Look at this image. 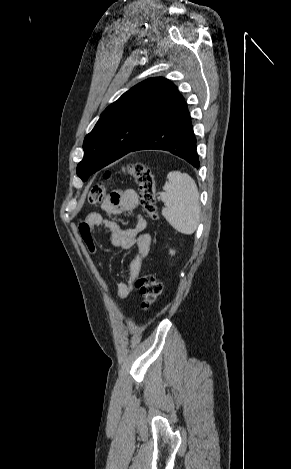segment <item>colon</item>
I'll use <instances>...</instances> for the list:
<instances>
[{"label": "colon", "instance_id": "obj_1", "mask_svg": "<svg viewBox=\"0 0 291 469\" xmlns=\"http://www.w3.org/2000/svg\"><path fill=\"white\" fill-rule=\"evenodd\" d=\"M123 172L131 176L137 183L140 191V202L144 212L152 219H157V206H156V183L153 173L150 168L142 163L128 164L123 168ZM113 173L107 171L104 174L106 182L111 181ZM108 185L106 183H99L92 187L90 190L87 202L91 205L98 204L105 200L107 197ZM134 285L139 291L141 296L140 305L143 310H147L158 299L162 292V284L150 273L139 275Z\"/></svg>", "mask_w": 291, "mask_h": 469}]
</instances>
